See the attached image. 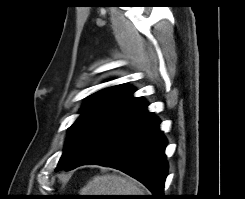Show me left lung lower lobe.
<instances>
[{"instance_id": "1", "label": "left lung lower lobe", "mask_w": 245, "mask_h": 199, "mask_svg": "<svg viewBox=\"0 0 245 199\" xmlns=\"http://www.w3.org/2000/svg\"><path fill=\"white\" fill-rule=\"evenodd\" d=\"M138 99L103 127L66 170L85 164L119 169L142 182L153 199L163 198L168 165L160 121Z\"/></svg>"}]
</instances>
